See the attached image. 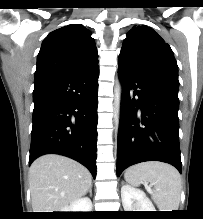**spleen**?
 Instances as JSON below:
<instances>
[{
  "instance_id": "obj_1",
  "label": "spleen",
  "mask_w": 203,
  "mask_h": 219,
  "mask_svg": "<svg viewBox=\"0 0 203 219\" xmlns=\"http://www.w3.org/2000/svg\"><path fill=\"white\" fill-rule=\"evenodd\" d=\"M124 177L134 186L141 183L154 186L152 199L160 211L178 210L181 176L173 166L161 162H143L128 168Z\"/></svg>"
}]
</instances>
